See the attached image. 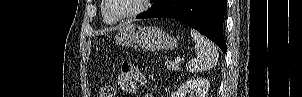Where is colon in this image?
I'll list each match as a JSON object with an SVG mask.
<instances>
[{"label": "colon", "instance_id": "colon-1", "mask_svg": "<svg viewBox=\"0 0 302 97\" xmlns=\"http://www.w3.org/2000/svg\"><path fill=\"white\" fill-rule=\"evenodd\" d=\"M99 97H114V90L111 86H103L99 90Z\"/></svg>", "mask_w": 302, "mask_h": 97}]
</instances>
